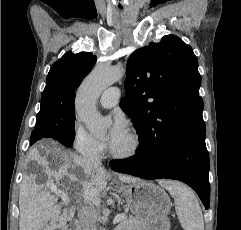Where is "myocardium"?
Here are the masks:
<instances>
[{"mask_svg":"<svg viewBox=\"0 0 241 230\" xmlns=\"http://www.w3.org/2000/svg\"><path fill=\"white\" fill-rule=\"evenodd\" d=\"M129 138H130V146L127 150L123 152H116L114 150H110V155L114 157L115 159L119 160H127L130 158H133L136 156L141 148V140L139 136L133 132L129 131L128 132Z\"/></svg>","mask_w":241,"mask_h":230,"instance_id":"f54148a6","label":"myocardium"}]
</instances>
